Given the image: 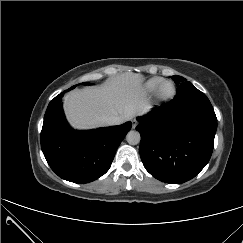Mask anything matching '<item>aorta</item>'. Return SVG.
<instances>
[{"label": "aorta", "mask_w": 243, "mask_h": 243, "mask_svg": "<svg viewBox=\"0 0 243 243\" xmlns=\"http://www.w3.org/2000/svg\"><path fill=\"white\" fill-rule=\"evenodd\" d=\"M140 133L137 131H129L126 140L130 145H137L140 142Z\"/></svg>", "instance_id": "obj_1"}]
</instances>
